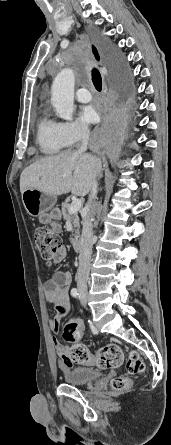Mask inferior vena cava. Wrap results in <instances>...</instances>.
Masks as SVG:
<instances>
[{
  "mask_svg": "<svg viewBox=\"0 0 171 445\" xmlns=\"http://www.w3.org/2000/svg\"><path fill=\"white\" fill-rule=\"evenodd\" d=\"M90 132L87 127H82L80 130V140L81 147L79 152H85L88 146ZM91 165L93 167V181L92 188L89 194L88 204L86 205V210L88 214L83 218L82 221V234L80 239L81 249L79 254V268L76 275L77 287L80 292H87V287L89 283V272H90V261L93 246V226L90 220L89 211L93 200L96 198L97 194V158L90 155Z\"/></svg>",
  "mask_w": 171,
  "mask_h": 445,
  "instance_id": "inferior-vena-cava-1",
  "label": "inferior vena cava"
}]
</instances>
